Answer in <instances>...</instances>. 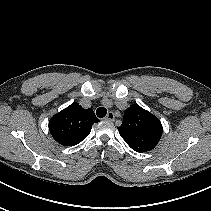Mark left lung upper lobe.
<instances>
[{
  "mask_svg": "<svg viewBox=\"0 0 211 211\" xmlns=\"http://www.w3.org/2000/svg\"><path fill=\"white\" fill-rule=\"evenodd\" d=\"M118 130L134 151L147 152L158 144L163 129L157 117L136 104L126 109Z\"/></svg>",
  "mask_w": 211,
  "mask_h": 211,
  "instance_id": "5c2ea615",
  "label": "left lung upper lobe"
}]
</instances>
